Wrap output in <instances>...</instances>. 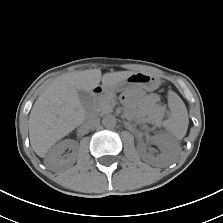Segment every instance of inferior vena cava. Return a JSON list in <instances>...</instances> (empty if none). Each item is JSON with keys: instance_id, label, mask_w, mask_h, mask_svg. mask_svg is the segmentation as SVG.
<instances>
[{"instance_id": "inferior-vena-cava-1", "label": "inferior vena cava", "mask_w": 223, "mask_h": 223, "mask_svg": "<svg viewBox=\"0 0 223 223\" xmlns=\"http://www.w3.org/2000/svg\"><path fill=\"white\" fill-rule=\"evenodd\" d=\"M100 125V119L98 117L92 116L89 117L85 122H84V127L86 129H95Z\"/></svg>"}]
</instances>
